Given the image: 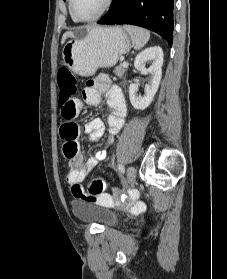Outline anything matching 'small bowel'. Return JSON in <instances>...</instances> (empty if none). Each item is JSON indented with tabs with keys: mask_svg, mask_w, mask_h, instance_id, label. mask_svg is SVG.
<instances>
[{
	"mask_svg": "<svg viewBox=\"0 0 227 279\" xmlns=\"http://www.w3.org/2000/svg\"><path fill=\"white\" fill-rule=\"evenodd\" d=\"M103 96L107 97V106L109 114L107 116L108 130L106 133V126L103 120L93 119L84 125V132L88 137L89 142L97 144L105 135L106 143L110 144L113 141L114 135L122 128L124 117L127 113V106L124 95L121 89L113 84L107 78L89 80L86 87L82 91L83 101L90 106H98L102 102ZM62 100V96H61ZM77 104V114L82 110V103L79 100L75 101ZM69 124L78 125L73 122ZM63 139V136L61 134ZM77 142V140H76ZM105 151H99L93 156L89 157L84 163L79 154L69 160V170L66 174V183L73 187L82 189L80 183L85 177L95 168V166L106 158ZM131 210L141 211L144 205L141 201H131L128 205Z\"/></svg>",
	"mask_w": 227,
	"mask_h": 279,
	"instance_id": "c3829d8e",
	"label": "small bowel"
}]
</instances>
